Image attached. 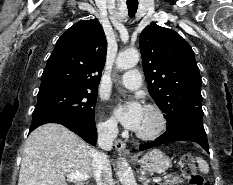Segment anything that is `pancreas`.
Listing matches in <instances>:
<instances>
[{
    "mask_svg": "<svg viewBox=\"0 0 233 185\" xmlns=\"http://www.w3.org/2000/svg\"><path fill=\"white\" fill-rule=\"evenodd\" d=\"M183 182L180 176H166V180L161 185H179Z\"/></svg>",
    "mask_w": 233,
    "mask_h": 185,
    "instance_id": "obj_1",
    "label": "pancreas"
}]
</instances>
